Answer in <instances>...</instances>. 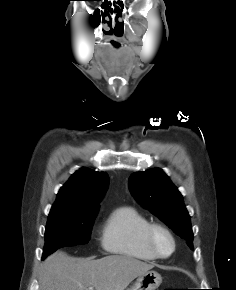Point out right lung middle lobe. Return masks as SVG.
<instances>
[{
	"instance_id": "right-lung-middle-lobe-1",
	"label": "right lung middle lobe",
	"mask_w": 236,
	"mask_h": 290,
	"mask_svg": "<svg viewBox=\"0 0 236 290\" xmlns=\"http://www.w3.org/2000/svg\"><path fill=\"white\" fill-rule=\"evenodd\" d=\"M96 214V212L81 215L50 214L42 259L60 247L88 243Z\"/></svg>"
}]
</instances>
